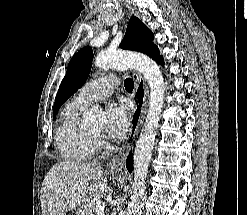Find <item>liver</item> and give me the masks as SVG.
<instances>
[{
    "mask_svg": "<svg viewBox=\"0 0 247 215\" xmlns=\"http://www.w3.org/2000/svg\"><path fill=\"white\" fill-rule=\"evenodd\" d=\"M103 167L63 161L46 174L41 189L43 215H65L90 200L100 199L107 188Z\"/></svg>",
    "mask_w": 247,
    "mask_h": 215,
    "instance_id": "6515ba94",
    "label": "liver"
}]
</instances>
